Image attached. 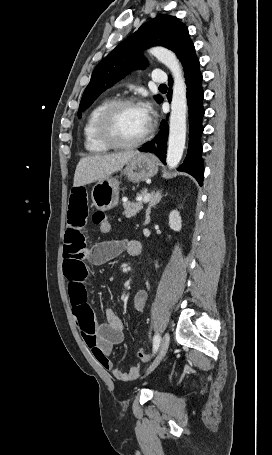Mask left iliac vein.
Wrapping results in <instances>:
<instances>
[{
	"label": "left iliac vein",
	"mask_w": 272,
	"mask_h": 455,
	"mask_svg": "<svg viewBox=\"0 0 272 455\" xmlns=\"http://www.w3.org/2000/svg\"><path fill=\"white\" fill-rule=\"evenodd\" d=\"M169 342H170V336H169L168 333H165L163 338H162V341H161L159 354L157 355V357L154 360V362L148 368L146 374H149L150 372H152L158 366V364L161 362V360L163 359V357L165 356V354H166V352L168 350Z\"/></svg>",
	"instance_id": "1"
}]
</instances>
